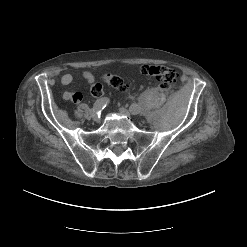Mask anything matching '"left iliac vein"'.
<instances>
[{
	"mask_svg": "<svg viewBox=\"0 0 247 247\" xmlns=\"http://www.w3.org/2000/svg\"><path fill=\"white\" fill-rule=\"evenodd\" d=\"M119 111H120V113H122V114H124V115H127V116L131 114L130 111L127 110V109L124 108V107H121V108L119 109Z\"/></svg>",
	"mask_w": 247,
	"mask_h": 247,
	"instance_id": "1",
	"label": "left iliac vein"
}]
</instances>
